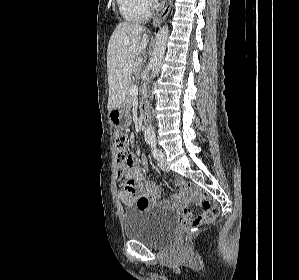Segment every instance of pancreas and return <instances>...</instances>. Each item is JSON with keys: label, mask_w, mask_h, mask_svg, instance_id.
<instances>
[{"label": "pancreas", "mask_w": 299, "mask_h": 280, "mask_svg": "<svg viewBox=\"0 0 299 280\" xmlns=\"http://www.w3.org/2000/svg\"><path fill=\"white\" fill-rule=\"evenodd\" d=\"M132 86H133L132 84H129L128 90H130V88H131ZM126 101H127V104H128V105H131L132 96H131L130 94L127 95Z\"/></svg>", "instance_id": "1"}]
</instances>
